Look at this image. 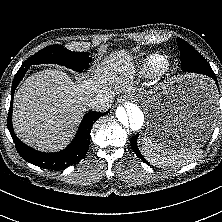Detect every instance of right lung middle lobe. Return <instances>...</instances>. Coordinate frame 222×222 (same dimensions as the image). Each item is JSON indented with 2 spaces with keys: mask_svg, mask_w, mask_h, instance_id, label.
<instances>
[{
  "mask_svg": "<svg viewBox=\"0 0 222 222\" xmlns=\"http://www.w3.org/2000/svg\"><path fill=\"white\" fill-rule=\"evenodd\" d=\"M91 58L87 52H72L62 45H51L40 50L24 63L34 65L40 63H54L64 65L74 71H81L88 67Z\"/></svg>",
  "mask_w": 222,
  "mask_h": 222,
  "instance_id": "right-lung-middle-lobe-1",
  "label": "right lung middle lobe"
}]
</instances>
